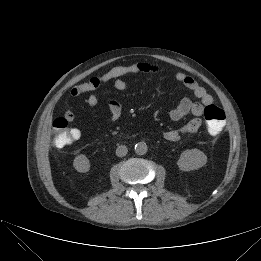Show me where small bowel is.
Listing matches in <instances>:
<instances>
[{"instance_id": "1", "label": "small bowel", "mask_w": 261, "mask_h": 261, "mask_svg": "<svg viewBox=\"0 0 261 261\" xmlns=\"http://www.w3.org/2000/svg\"><path fill=\"white\" fill-rule=\"evenodd\" d=\"M158 71H160V68L157 65L146 62L117 66L101 76L92 77L86 82L73 86L70 90V94L73 97L86 94L87 104L91 107H97L99 105V100L96 95V91L100 88V86L113 82L114 87L117 90L122 91L127 88L126 78L128 76L137 74H151ZM175 79L185 88L190 90L198 101L184 98L170 111L169 116L174 121H179L189 114L193 116L187 123L178 128L167 130L163 134V137L170 142L179 140L184 134H192L197 132L202 125L201 116L203 115L204 108L213 102V97L193 77L185 73L178 72L175 74ZM107 107L110 112V120L117 121L122 114L121 104L114 99H109L107 101ZM64 118L68 122L72 123L75 122L78 117L73 111L67 110L64 113Z\"/></svg>"}]
</instances>
